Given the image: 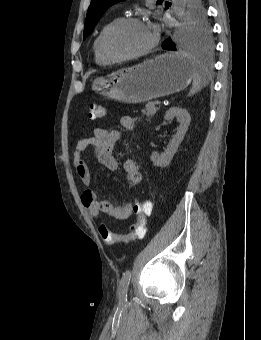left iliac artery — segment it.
<instances>
[{
  "label": "left iliac artery",
  "instance_id": "1",
  "mask_svg": "<svg viewBox=\"0 0 261 340\" xmlns=\"http://www.w3.org/2000/svg\"><path fill=\"white\" fill-rule=\"evenodd\" d=\"M130 279H131V271L126 270L123 273L122 279L120 281V286H119V300H120V303L122 304L127 302V290H128V286L130 283Z\"/></svg>",
  "mask_w": 261,
  "mask_h": 340
}]
</instances>
